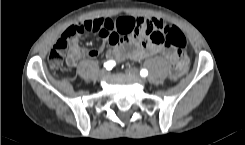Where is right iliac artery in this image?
I'll return each mask as SVG.
<instances>
[{"label": "right iliac artery", "instance_id": "1", "mask_svg": "<svg viewBox=\"0 0 245 145\" xmlns=\"http://www.w3.org/2000/svg\"><path fill=\"white\" fill-rule=\"evenodd\" d=\"M114 66H115V62L112 61V60L107 61L106 63H104V67H105L107 70H111Z\"/></svg>", "mask_w": 245, "mask_h": 145}]
</instances>
